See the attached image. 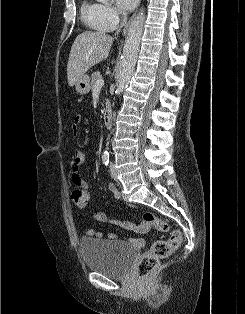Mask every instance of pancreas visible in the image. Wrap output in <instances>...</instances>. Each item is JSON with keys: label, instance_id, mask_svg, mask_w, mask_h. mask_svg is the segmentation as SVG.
I'll use <instances>...</instances> for the list:
<instances>
[{"label": "pancreas", "instance_id": "1", "mask_svg": "<svg viewBox=\"0 0 245 314\" xmlns=\"http://www.w3.org/2000/svg\"><path fill=\"white\" fill-rule=\"evenodd\" d=\"M98 78H102L101 74L99 71H96L92 74L91 79H90V87L93 89L95 87L96 81Z\"/></svg>", "mask_w": 245, "mask_h": 314}]
</instances>
